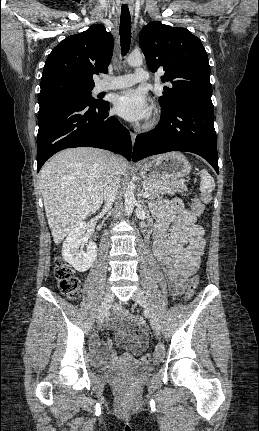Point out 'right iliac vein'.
Wrapping results in <instances>:
<instances>
[{
    "label": "right iliac vein",
    "mask_w": 259,
    "mask_h": 431,
    "mask_svg": "<svg viewBox=\"0 0 259 431\" xmlns=\"http://www.w3.org/2000/svg\"><path fill=\"white\" fill-rule=\"evenodd\" d=\"M114 300V294L111 290H107L104 296V299L102 301V304L100 306V309L98 311V315H97V323L101 324L109 310V308L111 307V304Z\"/></svg>",
    "instance_id": "1"
}]
</instances>
